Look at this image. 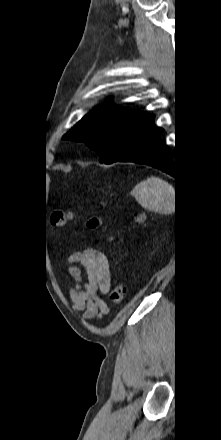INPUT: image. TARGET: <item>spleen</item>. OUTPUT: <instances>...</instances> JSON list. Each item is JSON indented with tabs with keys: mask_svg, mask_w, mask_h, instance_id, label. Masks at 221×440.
<instances>
[{
	"mask_svg": "<svg viewBox=\"0 0 221 440\" xmlns=\"http://www.w3.org/2000/svg\"><path fill=\"white\" fill-rule=\"evenodd\" d=\"M130 194L147 211L169 214L174 210V187L159 177L151 176L138 183Z\"/></svg>",
	"mask_w": 221,
	"mask_h": 440,
	"instance_id": "obj_1",
	"label": "spleen"
}]
</instances>
